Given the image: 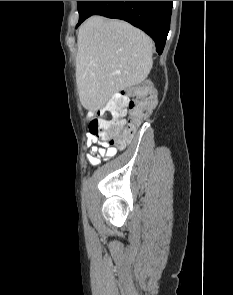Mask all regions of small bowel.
<instances>
[{"label": "small bowel", "mask_w": 233, "mask_h": 295, "mask_svg": "<svg viewBox=\"0 0 233 295\" xmlns=\"http://www.w3.org/2000/svg\"><path fill=\"white\" fill-rule=\"evenodd\" d=\"M86 147L90 151V154L86 156V159L91 165H98L101 159L108 160L117 152V148L99 141L98 138L92 134L87 137Z\"/></svg>", "instance_id": "c3829d8e"}]
</instances>
